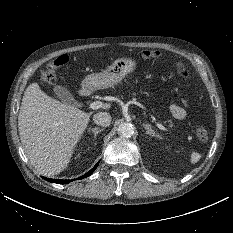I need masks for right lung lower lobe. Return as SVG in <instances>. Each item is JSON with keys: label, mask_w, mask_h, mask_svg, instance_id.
I'll use <instances>...</instances> for the list:
<instances>
[{"label": "right lung lower lobe", "mask_w": 233, "mask_h": 233, "mask_svg": "<svg viewBox=\"0 0 233 233\" xmlns=\"http://www.w3.org/2000/svg\"><path fill=\"white\" fill-rule=\"evenodd\" d=\"M99 163V162H98ZM98 163L89 171L87 172L86 174H84L82 177H80V179H83L87 176H89L90 174L93 173V171L96 169ZM45 180L49 181V182H53V183H57V184H66V183H69L70 181L72 180H60V179H50V178H45L43 177Z\"/></svg>", "instance_id": "right-lung-lower-lobe-1"}]
</instances>
